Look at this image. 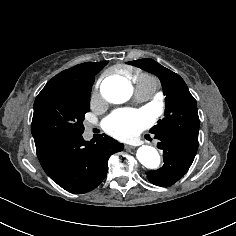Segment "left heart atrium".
<instances>
[{
	"label": "left heart atrium",
	"mask_w": 236,
	"mask_h": 236,
	"mask_svg": "<svg viewBox=\"0 0 236 236\" xmlns=\"http://www.w3.org/2000/svg\"><path fill=\"white\" fill-rule=\"evenodd\" d=\"M148 123L144 111L122 109L115 111L105 122L106 131L112 136L128 140L140 133Z\"/></svg>",
	"instance_id": "obj_1"
}]
</instances>
